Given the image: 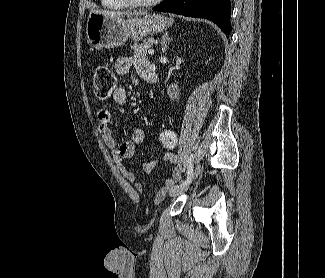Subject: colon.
<instances>
[{"label":"colon","mask_w":325,"mask_h":278,"mask_svg":"<svg viewBox=\"0 0 325 278\" xmlns=\"http://www.w3.org/2000/svg\"><path fill=\"white\" fill-rule=\"evenodd\" d=\"M93 90L97 99L106 100L116 91V77L107 66H99L95 70L93 78ZM161 145L168 150L176 147L177 140L172 132L160 136Z\"/></svg>","instance_id":"1"}]
</instances>
